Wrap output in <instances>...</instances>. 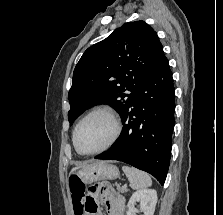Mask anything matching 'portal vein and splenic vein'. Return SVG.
Wrapping results in <instances>:
<instances>
[{
	"instance_id": "obj_1",
	"label": "portal vein and splenic vein",
	"mask_w": 223,
	"mask_h": 215,
	"mask_svg": "<svg viewBox=\"0 0 223 215\" xmlns=\"http://www.w3.org/2000/svg\"><path fill=\"white\" fill-rule=\"evenodd\" d=\"M122 188L125 190L127 187H126V185H123V187H122Z\"/></svg>"
}]
</instances>
